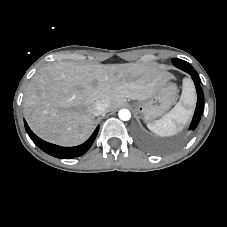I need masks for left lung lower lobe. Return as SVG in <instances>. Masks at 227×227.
Segmentation results:
<instances>
[{
    "label": "left lung lower lobe",
    "instance_id": "1",
    "mask_svg": "<svg viewBox=\"0 0 227 227\" xmlns=\"http://www.w3.org/2000/svg\"><path fill=\"white\" fill-rule=\"evenodd\" d=\"M174 66H176L177 68H180L181 70L189 73L192 76V79L195 83V87L197 90V105H196V109H195V113L193 116V120L190 124V130H195V128L197 127L200 119H201V115L203 113V106H204V95H203V91L202 88L200 86L201 80L200 77L198 75V73L195 71V69L186 61L181 60V62H177L175 64H173Z\"/></svg>",
    "mask_w": 227,
    "mask_h": 227
}]
</instances>
